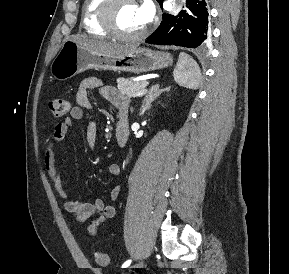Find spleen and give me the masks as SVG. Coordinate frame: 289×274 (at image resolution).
I'll use <instances>...</instances> for the list:
<instances>
[{
	"mask_svg": "<svg viewBox=\"0 0 289 274\" xmlns=\"http://www.w3.org/2000/svg\"><path fill=\"white\" fill-rule=\"evenodd\" d=\"M174 80L183 87L197 89L201 83V71L196 61L186 53H180Z\"/></svg>",
	"mask_w": 289,
	"mask_h": 274,
	"instance_id": "obj_1",
	"label": "spleen"
}]
</instances>
